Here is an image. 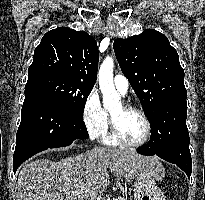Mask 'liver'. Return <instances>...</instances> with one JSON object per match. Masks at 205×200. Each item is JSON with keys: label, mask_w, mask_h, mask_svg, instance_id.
Instances as JSON below:
<instances>
[{"label": "liver", "mask_w": 205, "mask_h": 200, "mask_svg": "<svg viewBox=\"0 0 205 200\" xmlns=\"http://www.w3.org/2000/svg\"><path fill=\"white\" fill-rule=\"evenodd\" d=\"M156 157L136 152L94 147L60 161L37 159L25 163L15 186L16 200H91L110 184L109 169L130 183L140 175L161 178ZM81 192L80 196L75 195Z\"/></svg>", "instance_id": "liver-1"}]
</instances>
